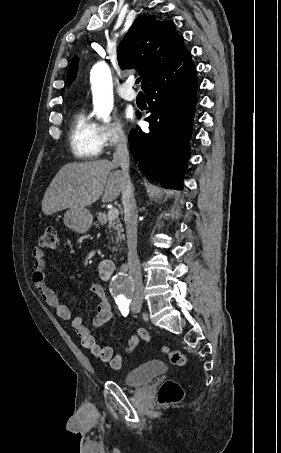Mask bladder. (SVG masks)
<instances>
[{"mask_svg":"<svg viewBox=\"0 0 281 453\" xmlns=\"http://www.w3.org/2000/svg\"><path fill=\"white\" fill-rule=\"evenodd\" d=\"M166 370L167 366L164 362L159 360L149 361L129 371L124 377V384L139 386L163 374Z\"/></svg>","mask_w":281,"mask_h":453,"instance_id":"1","label":"bladder"}]
</instances>
